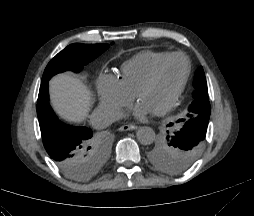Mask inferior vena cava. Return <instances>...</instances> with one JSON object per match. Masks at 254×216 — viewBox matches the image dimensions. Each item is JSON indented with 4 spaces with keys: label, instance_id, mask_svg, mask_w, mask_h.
<instances>
[{
    "label": "inferior vena cava",
    "instance_id": "1",
    "mask_svg": "<svg viewBox=\"0 0 254 216\" xmlns=\"http://www.w3.org/2000/svg\"><path fill=\"white\" fill-rule=\"evenodd\" d=\"M118 109L106 105H99L90 115V123L95 129H104L121 119Z\"/></svg>",
    "mask_w": 254,
    "mask_h": 216
}]
</instances>
